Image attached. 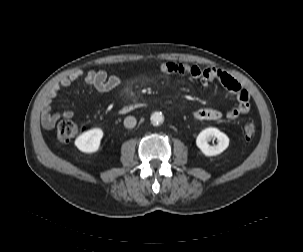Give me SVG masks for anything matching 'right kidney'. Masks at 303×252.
<instances>
[{
    "label": "right kidney",
    "instance_id": "obj_1",
    "mask_svg": "<svg viewBox=\"0 0 303 252\" xmlns=\"http://www.w3.org/2000/svg\"><path fill=\"white\" fill-rule=\"evenodd\" d=\"M103 134L104 133L100 128L88 130L75 140V145L84 153H94L100 147Z\"/></svg>",
    "mask_w": 303,
    "mask_h": 252
}]
</instances>
